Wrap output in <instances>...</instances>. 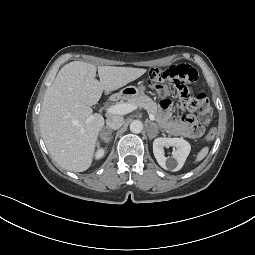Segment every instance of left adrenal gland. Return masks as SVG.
I'll return each instance as SVG.
<instances>
[{"label":"left adrenal gland","mask_w":255,"mask_h":255,"mask_svg":"<svg viewBox=\"0 0 255 255\" xmlns=\"http://www.w3.org/2000/svg\"><path fill=\"white\" fill-rule=\"evenodd\" d=\"M151 129H157L156 124H154V123L150 122L149 133H148V136H149V137H150ZM156 134H157V132H156Z\"/></svg>","instance_id":"a2214340"}]
</instances>
